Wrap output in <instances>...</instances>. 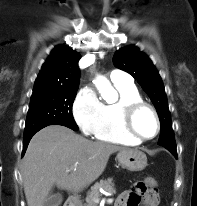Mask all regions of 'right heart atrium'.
Listing matches in <instances>:
<instances>
[{"label": "right heart atrium", "instance_id": "right-heart-atrium-1", "mask_svg": "<svg viewBox=\"0 0 197 206\" xmlns=\"http://www.w3.org/2000/svg\"><path fill=\"white\" fill-rule=\"evenodd\" d=\"M102 103L95 91L85 86L78 92L72 107L73 118L84 135H91L99 121Z\"/></svg>", "mask_w": 197, "mask_h": 206}]
</instances>
